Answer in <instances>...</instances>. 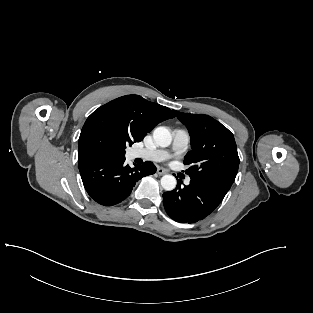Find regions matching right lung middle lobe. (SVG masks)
Returning a JSON list of instances; mask_svg holds the SVG:
<instances>
[{
  "mask_svg": "<svg viewBox=\"0 0 313 313\" xmlns=\"http://www.w3.org/2000/svg\"><path fill=\"white\" fill-rule=\"evenodd\" d=\"M125 148H126V145L124 144L122 147V151H121V156H123V157L125 155Z\"/></svg>",
  "mask_w": 313,
  "mask_h": 313,
  "instance_id": "right-lung-middle-lobe-1",
  "label": "right lung middle lobe"
}]
</instances>
